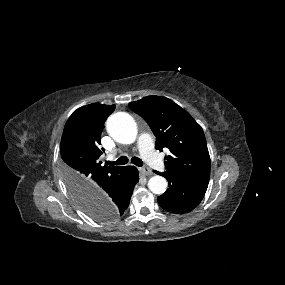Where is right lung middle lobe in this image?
Here are the masks:
<instances>
[{
	"mask_svg": "<svg viewBox=\"0 0 285 285\" xmlns=\"http://www.w3.org/2000/svg\"><path fill=\"white\" fill-rule=\"evenodd\" d=\"M66 184H67V180L65 179ZM71 194L73 195L74 199L76 200V202L78 203V205L80 206V208L90 217L96 219V220H100V221H109L112 220L117 216L116 213H114L110 207L106 206V205H102V206H98V205H94L92 203H82L80 202L74 191L72 190L71 187H68Z\"/></svg>",
	"mask_w": 285,
	"mask_h": 285,
	"instance_id": "dd1d6c3e",
	"label": "right lung middle lobe"
}]
</instances>
